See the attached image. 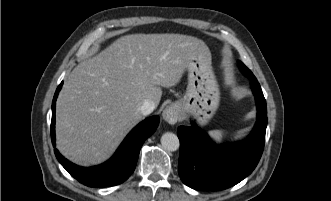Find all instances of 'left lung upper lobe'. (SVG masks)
I'll return each instance as SVG.
<instances>
[{"instance_id": "1", "label": "left lung upper lobe", "mask_w": 331, "mask_h": 201, "mask_svg": "<svg viewBox=\"0 0 331 201\" xmlns=\"http://www.w3.org/2000/svg\"><path fill=\"white\" fill-rule=\"evenodd\" d=\"M239 67L245 75L249 76L250 78L255 77L253 73L242 62H239Z\"/></svg>"}]
</instances>
